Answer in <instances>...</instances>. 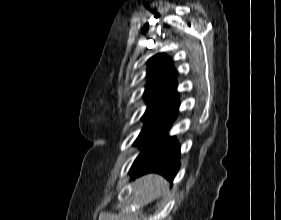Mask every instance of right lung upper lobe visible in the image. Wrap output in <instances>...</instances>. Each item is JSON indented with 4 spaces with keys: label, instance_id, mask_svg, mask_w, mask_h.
I'll return each mask as SVG.
<instances>
[{
    "label": "right lung upper lobe",
    "instance_id": "right-lung-upper-lobe-1",
    "mask_svg": "<svg viewBox=\"0 0 281 220\" xmlns=\"http://www.w3.org/2000/svg\"><path fill=\"white\" fill-rule=\"evenodd\" d=\"M148 62L149 79L144 93L148 107L142 118L173 120L178 113L179 102L172 61L164 54H157Z\"/></svg>",
    "mask_w": 281,
    "mask_h": 220
}]
</instances>
